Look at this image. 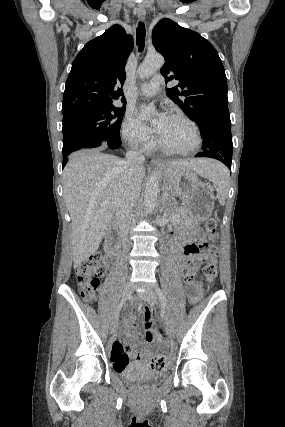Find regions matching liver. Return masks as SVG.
<instances>
[{
  "label": "liver",
  "mask_w": 285,
  "mask_h": 427,
  "mask_svg": "<svg viewBox=\"0 0 285 427\" xmlns=\"http://www.w3.org/2000/svg\"><path fill=\"white\" fill-rule=\"evenodd\" d=\"M124 161L110 154L84 152L71 159L64 168L63 197L71 217L74 268L98 249L124 190L134 186L140 193L146 170L142 167L129 183ZM169 164L191 168L207 178L217 162L191 158Z\"/></svg>",
  "instance_id": "liver-1"
}]
</instances>
